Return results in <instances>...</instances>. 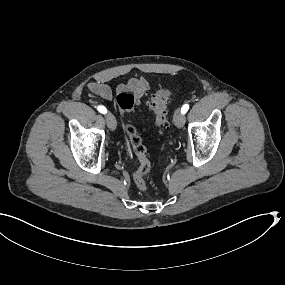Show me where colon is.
<instances>
[{"mask_svg": "<svg viewBox=\"0 0 285 285\" xmlns=\"http://www.w3.org/2000/svg\"><path fill=\"white\" fill-rule=\"evenodd\" d=\"M171 92L167 89H160L154 92L148 102V107L152 110L155 117V125L159 128L168 125V103ZM118 107L125 117L129 112L133 111L137 105V98L134 93L129 91L120 92L117 95ZM132 150L139 161V165L134 173L133 179L137 188L141 191L147 190L146 176L151 169V163L147 157V150L144 146L140 135L136 128L131 124L125 125Z\"/></svg>", "mask_w": 285, "mask_h": 285, "instance_id": "1", "label": "colon"}]
</instances>
